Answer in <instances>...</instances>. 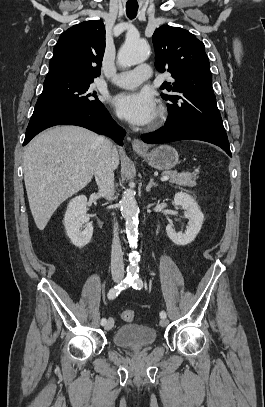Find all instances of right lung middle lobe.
I'll list each match as a JSON object with an SVG mask.
<instances>
[{
  "instance_id": "right-lung-middle-lobe-1",
  "label": "right lung middle lobe",
  "mask_w": 265,
  "mask_h": 407,
  "mask_svg": "<svg viewBox=\"0 0 265 407\" xmlns=\"http://www.w3.org/2000/svg\"><path fill=\"white\" fill-rule=\"evenodd\" d=\"M93 80L72 78L45 79L42 94L38 98L29 124L66 111L103 104L97 92L90 87Z\"/></svg>"
}]
</instances>
